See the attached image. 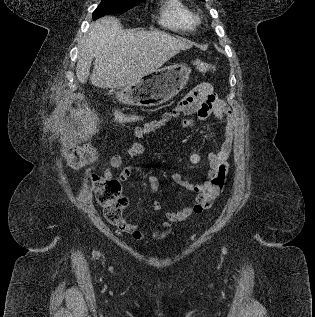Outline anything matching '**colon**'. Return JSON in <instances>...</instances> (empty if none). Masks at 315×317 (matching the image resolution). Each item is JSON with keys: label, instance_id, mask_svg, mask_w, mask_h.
<instances>
[{"label": "colon", "instance_id": "colon-1", "mask_svg": "<svg viewBox=\"0 0 315 317\" xmlns=\"http://www.w3.org/2000/svg\"><path fill=\"white\" fill-rule=\"evenodd\" d=\"M196 70L200 73L214 70V66L204 60L194 62ZM138 120L135 115H123L118 117L117 123H131ZM97 156V150L93 146H78L71 149V161L78 165H84L93 161ZM93 186L99 204L102 206L105 218L120 226L123 222L122 214L127 207L128 201L121 193V184L118 179L106 178L95 175Z\"/></svg>", "mask_w": 315, "mask_h": 317}]
</instances>
